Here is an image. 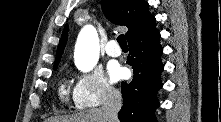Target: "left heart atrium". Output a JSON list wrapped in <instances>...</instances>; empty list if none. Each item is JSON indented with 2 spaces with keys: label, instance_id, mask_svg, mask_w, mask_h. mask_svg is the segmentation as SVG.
<instances>
[{
  "label": "left heart atrium",
  "instance_id": "obj_1",
  "mask_svg": "<svg viewBox=\"0 0 221 122\" xmlns=\"http://www.w3.org/2000/svg\"><path fill=\"white\" fill-rule=\"evenodd\" d=\"M108 74L112 81H118L124 75V69L116 63H111L108 66Z\"/></svg>",
  "mask_w": 221,
  "mask_h": 122
}]
</instances>
